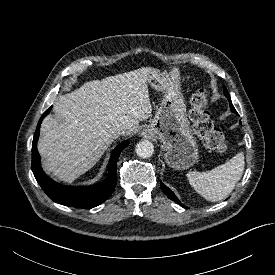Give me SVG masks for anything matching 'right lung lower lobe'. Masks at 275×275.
Here are the masks:
<instances>
[{
  "instance_id": "98d812e1",
  "label": "right lung lower lobe",
  "mask_w": 275,
  "mask_h": 275,
  "mask_svg": "<svg viewBox=\"0 0 275 275\" xmlns=\"http://www.w3.org/2000/svg\"><path fill=\"white\" fill-rule=\"evenodd\" d=\"M49 107L41 116L37 125L32 143V171L44 190V192L54 202L75 208H93L107 200L114 191L117 183L116 165L120 153L128 146L129 141L119 144L112 152L107 178L96 185L83 186H63L46 176L40 165V156L37 150L40 124L43 118L50 112Z\"/></svg>"
}]
</instances>
